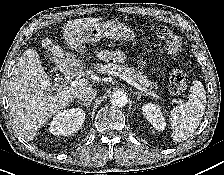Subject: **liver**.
Here are the masks:
<instances>
[{
    "label": "liver",
    "instance_id": "liver-1",
    "mask_svg": "<svg viewBox=\"0 0 224 175\" xmlns=\"http://www.w3.org/2000/svg\"><path fill=\"white\" fill-rule=\"evenodd\" d=\"M100 18H82L69 20L62 27L63 38L69 49L81 55L86 53L85 44L88 39L85 32L99 23ZM42 48L55 64L54 70H59L65 76H76L82 73L81 59L66 53L61 46L54 44L51 38L41 40ZM89 58L90 54H88ZM96 68V67H95ZM47 68L42 65L39 54L34 49H27L18 59L13 70V76L8 86L9 114L20 137L31 141L38 134V130L45 126L48 119L64 108L68 107L76 98L79 90L92 88L91 84L81 86H67L54 84V96L46 93L51 86Z\"/></svg>",
    "mask_w": 224,
    "mask_h": 175
}]
</instances>
